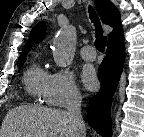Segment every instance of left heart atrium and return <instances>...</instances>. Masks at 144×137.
Here are the masks:
<instances>
[{
  "label": "left heart atrium",
  "instance_id": "left-heart-atrium-1",
  "mask_svg": "<svg viewBox=\"0 0 144 137\" xmlns=\"http://www.w3.org/2000/svg\"><path fill=\"white\" fill-rule=\"evenodd\" d=\"M82 81L87 89H94L97 86L96 72L93 67L86 65L82 69Z\"/></svg>",
  "mask_w": 144,
  "mask_h": 137
}]
</instances>
